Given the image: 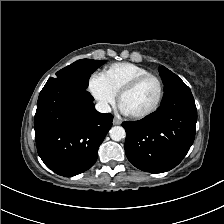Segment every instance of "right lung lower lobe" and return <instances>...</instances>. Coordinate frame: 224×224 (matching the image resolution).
<instances>
[{"label": "right lung lower lobe", "mask_w": 224, "mask_h": 224, "mask_svg": "<svg viewBox=\"0 0 224 224\" xmlns=\"http://www.w3.org/2000/svg\"><path fill=\"white\" fill-rule=\"evenodd\" d=\"M85 89L47 82L40 92L34 129L37 151L47 167L72 177L93 166L113 116L96 111Z\"/></svg>", "instance_id": "obj_1"}]
</instances>
